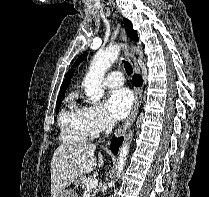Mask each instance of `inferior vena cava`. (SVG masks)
I'll list each match as a JSON object with an SVG mask.
<instances>
[{
  "mask_svg": "<svg viewBox=\"0 0 209 197\" xmlns=\"http://www.w3.org/2000/svg\"><path fill=\"white\" fill-rule=\"evenodd\" d=\"M115 126V120L111 117L107 116L105 122V134L108 135Z\"/></svg>",
  "mask_w": 209,
  "mask_h": 197,
  "instance_id": "inferior-vena-cava-1",
  "label": "inferior vena cava"
}]
</instances>
